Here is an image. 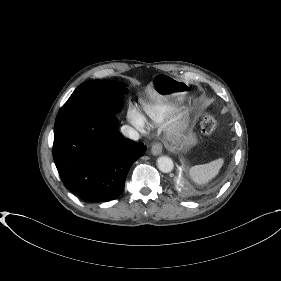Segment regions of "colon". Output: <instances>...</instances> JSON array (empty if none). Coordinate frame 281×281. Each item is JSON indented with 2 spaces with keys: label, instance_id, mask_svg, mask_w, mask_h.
<instances>
[{
  "label": "colon",
  "instance_id": "colon-1",
  "mask_svg": "<svg viewBox=\"0 0 281 281\" xmlns=\"http://www.w3.org/2000/svg\"><path fill=\"white\" fill-rule=\"evenodd\" d=\"M215 127H216L215 119L209 114L204 115L202 119L203 132L207 135H210L215 130Z\"/></svg>",
  "mask_w": 281,
  "mask_h": 281
}]
</instances>
